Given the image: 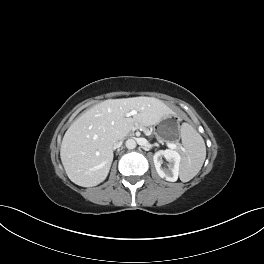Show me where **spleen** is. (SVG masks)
<instances>
[{"label":"spleen","mask_w":264,"mask_h":264,"mask_svg":"<svg viewBox=\"0 0 264 264\" xmlns=\"http://www.w3.org/2000/svg\"><path fill=\"white\" fill-rule=\"evenodd\" d=\"M180 136L185 149L182 153L180 179L188 182L201 170L206 158V146L201 135L188 123H182Z\"/></svg>","instance_id":"obj_1"}]
</instances>
